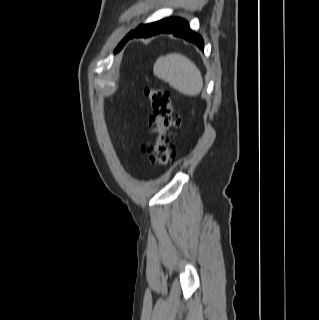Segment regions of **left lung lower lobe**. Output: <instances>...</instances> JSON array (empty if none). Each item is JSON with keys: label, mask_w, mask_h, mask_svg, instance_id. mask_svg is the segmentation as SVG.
I'll list each match as a JSON object with an SVG mask.
<instances>
[{"label": "left lung lower lobe", "mask_w": 319, "mask_h": 320, "mask_svg": "<svg viewBox=\"0 0 319 320\" xmlns=\"http://www.w3.org/2000/svg\"><path fill=\"white\" fill-rule=\"evenodd\" d=\"M159 33H172L174 36L182 37L185 40L195 43L199 49L203 50L204 43L198 34L194 33L186 20L181 18H167L161 21L153 22L146 25H140L134 31H131L124 39L122 46L116 51L118 52L125 43L137 37H149Z\"/></svg>", "instance_id": "0a47b994"}]
</instances>
